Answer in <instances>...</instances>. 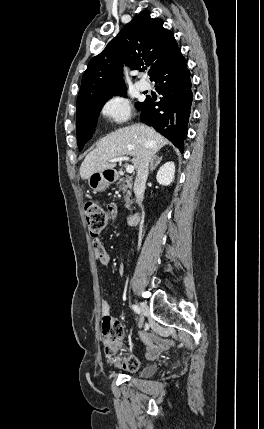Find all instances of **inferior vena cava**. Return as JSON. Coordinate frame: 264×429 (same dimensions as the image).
Here are the masks:
<instances>
[{
    "instance_id": "obj_1",
    "label": "inferior vena cava",
    "mask_w": 264,
    "mask_h": 429,
    "mask_svg": "<svg viewBox=\"0 0 264 429\" xmlns=\"http://www.w3.org/2000/svg\"><path fill=\"white\" fill-rule=\"evenodd\" d=\"M151 160V154L146 152L137 167V175L134 182V194L136 202L140 206L144 197L145 184L148 178V167Z\"/></svg>"
}]
</instances>
